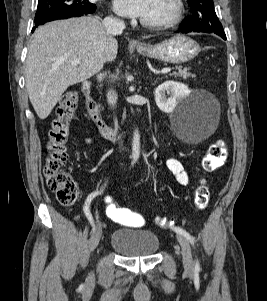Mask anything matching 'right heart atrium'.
I'll use <instances>...</instances> for the list:
<instances>
[{
    "label": "right heart atrium",
    "mask_w": 267,
    "mask_h": 301,
    "mask_svg": "<svg viewBox=\"0 0 267 301\" xmlns=\"http://www.w3.org/2000/svg\"><path fill=\"white\" fill-rule=\"evenodd\" d=\"M111 19L115 20V19H117V17L114 16V15H112V16H111Z\"/></svg>",
    "instance_id": "obj_1"
}]
</instances>
